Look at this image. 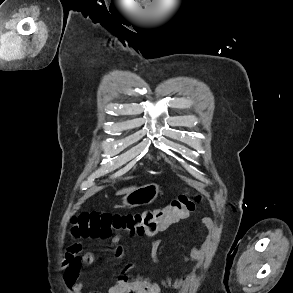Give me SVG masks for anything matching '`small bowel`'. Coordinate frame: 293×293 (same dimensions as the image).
Listing matches in <instances>:
<instances>
[{
  "label": "small bowel",
  "instance_id": "obj_1",
  "mask_svg": "<svg viewBox=\"0 0 293 293\" xmlns=\"http://www.w3.org/2000/svg\"><path fill=\"white\" fill-rule=\"evenodd\" d=\"M201 223L207 229V235L202 242L198 241L197 235H192L193 246L190 254L184 257V264L189 265L190 263L198 262L203 259L208 247L212 241L215 225L211 218L203 217ZM169 226V225H168ZM167 226V227H168ZM167 227L151 232H144L139 235L146 236L149 238L155 237L158 233L164 231ZM121 234H115L110 238V244L104 249V253L114 258H122L125 254L124 248L119 244L122 239ZM160 245L158 239L150 240V258L153 264L158 261L157 250ZM83 245L81 242L72 243L66 251L65 258L63 261V279L66 287L72 291V293H83L85 289V283L79 281V275L84 266L91 265L98 260L95 253L90 251H82ZM192 277L187 275L182 278H167L162 281L161 286L180 289L188 285ZM143 288H148L149 293H160L161 287L158 283L152 282L147 278H137L135 280H129L128 277L121 275L117 278L115 284L110 286L107 293H140ZM89 293H102L101 291H91Z\"/></svg>",
  "mask_w": 293,
  "mask_h": 293
}]
</instances>
